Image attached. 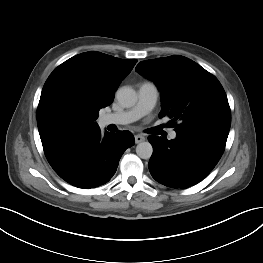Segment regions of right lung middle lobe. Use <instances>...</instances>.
Listing matches in <instances>:
<instances>
[{
    "mask_svg": "<svg viewBox=\"0 0 263 263\" xmlns=\"http://www.w3.org/2000/svg\"><path fill=\"white\" fill-rule=\"evenodd\" d=\"M99 110L98 105L77 92L58 90L42 108L43 135L52 138L96 128Z\"/></svg>",
    "mask_w": 263,
    "mask_h": 263,
    "instance_id": "right-lung-middle-lobe-1",
    "label": "right lung middle lobe"
}]
</instances>
